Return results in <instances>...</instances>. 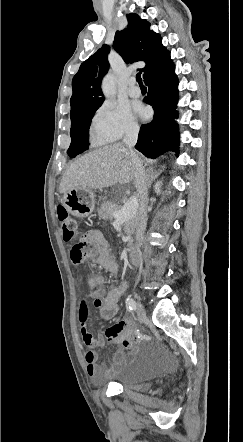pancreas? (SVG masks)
<instances>
[{
	"mask_svg": "<svg viewBox=\"0 0 243 442\" xmlns=\"http://www.w3.org/2000/svg\"><path fill=\"white\" fill-rule=\"evenodd\" d=\"M119 209V206L113 204L112 202L106 201L103 202L101 207L98 209V215L103 220H112L114 218L113 212L118 211ZM124 226L128 234L132 235L135 230V217L126 220Z\"/></svg>",
	"mask_w": 243,
	"mask_h": 442,
	"instance_id": "cf45deb5",
	"label": "pancreas"
}]
</instances>
